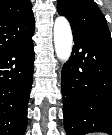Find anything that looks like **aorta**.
Segmentation results:
<instances>
[{
    "mask_svg": "<svg viewBox=\"0 0 112 135\" xmlns=\"http://www.w3.org/2000/svg\"><path fill=\"white\" fill-rule=\"evenodd\" d=\"M72 31L65 17H58L54 23V44L57 57L67 62L72 52Z\"/></svg>",
    "mask_w": 112,
    "mask_h": 135,
    "instance_id": "762f6f07",
    "label": "aorta"
}]
</instances>
